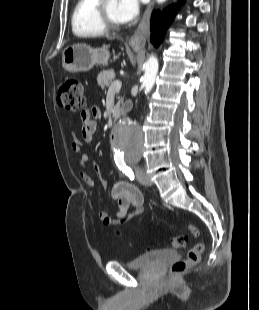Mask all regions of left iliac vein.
I'll use <instances>...</instances> for the list:
<instances>
[{
	"label": "left iliac vein",
	"mask_w": 259,
	"mask_h": 310,
	"mask_svg": "<svg viewBox=\"0 0 259 310\" xmlns=\"http://www.w3.org/2000/svg\"><path fill=\"white\" fill-rule=\"evenodd\" d=\"M135 173H136V176H137V178L141 184L146 185V186L152 185L148 175L146 174V172L142 168L136 167Z\"/></svg>",
	"instance_id": "4c4485c4"
}]
</instances>
